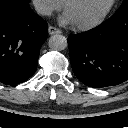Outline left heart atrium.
<instances>
[{"instance_id":"1","label":"left heart atrium","mask_w":128,"mask_h":128,"mask_svg":"<svg viewBox=\"0 0 128 128\" xmlns=\"http://www.w3.org/2000/svg\"><path fill=\"white\" fill-rule=\"evenodd\" d=\"M59 22L62 25H71V24H74L73 20L71 19V17L69 16V14L66 13V12L60 17Z\"/></svg>"}]
</instances>
